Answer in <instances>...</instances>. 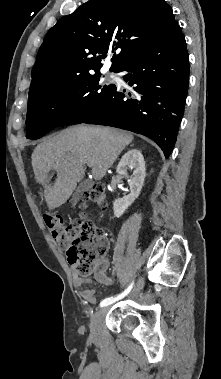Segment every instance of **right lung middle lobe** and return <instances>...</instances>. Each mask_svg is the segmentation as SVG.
I'll list each match as a JSON object with an SVG mask.
<instances>
[{
	"label": "right lung middle lobe",
	"mask_w": 221,
	"mask_h": 379,
	"mask_svg": "<svg viewBox=\"0 0 221 379\" xmlns=\"http://www.w3.org/2000/svg\"><path fill=\"white\" fill-rule=\"evenodd\" d=\"M100 76L98 71L56 82L28 101L26 137L38 139L56 127L71 124L79 116H87L114 87L104 84Z\"/></svg>",
	"instance_id": "1"
}]
</instances>
